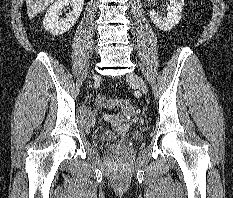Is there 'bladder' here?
<instances>
[{
  "mask_svg": "<svg viewBox=\"0 0 233 198\" xmlns=\"http://www.w3.org/2000/svg\"><path fill=\"white\" fill-rule=\"evenodd\" d=\"M83 118L87 125H92L95 122V116L92 112H86ZM143 138H144V133L141 130H133L128 134H126L125 136H121L117 133L110 132L104 137L106 141H118V140L141 141Z\"/></svg>",
  "mask_w": 233,
  "mask_h": 198,
  "instance_id": "31cf9c89",
  "label": "bladder"
}]
</instances>
